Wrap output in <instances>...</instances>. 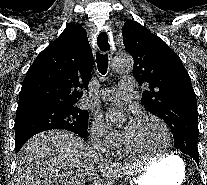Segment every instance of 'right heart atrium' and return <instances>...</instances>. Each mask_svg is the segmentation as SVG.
<instances>
[{
  "mask_svg": "<svg viewBox=\"0 0 207 185\" xmlns=\"http://www.w3.org/2000/svg\"><path fill=\"white\" fill-rule=\"evenodd\" d=\"M90 137L93 146L102 151L108 152L119 142L120 136L113 131L102 119L97 116L90 130Z\"/></svg>",
  "mask_w": 207,
  "mask_h": 185,
  "instance_id": "1",
  "label": "right heart atrium"
}]
</instances>
